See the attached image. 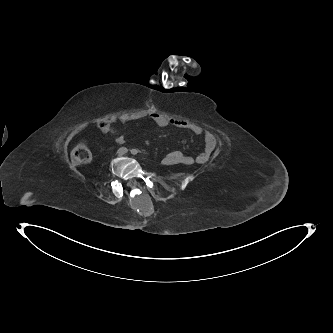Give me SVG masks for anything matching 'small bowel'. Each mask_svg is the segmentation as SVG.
<instances>
[{"label":"small bowel","mask_w":333,"mask_h":333,"mask_svg":"<svg viewBox=\"0 0 333 333\" xmlns=\"http://www.w3.org/2000/svg\"><path fill=\"white\" fill-rule=\"evenodd\" d=\"M150 119L161 127L166 126H174L180 129H186L191 132H193L196 135L202 136L204 139V148L201 152L196 154L195 156H189L185 155L181 160H173L169 163H166L162 160V163L164 165H185V166H191L194 164H204L206 163L209 158L211 157L215 146H216V137L213 133H211L208 130H204L199 125L188 121V120H182V119H171L166 117L163 114L160 113H152L149 115ZM143 116L141 114H129L122 116L120 118H112L108 120H100L97 122L96 126L98 130L105 134H117V128L116 125H125L127 123H136L137 121L141 120ZM116 141L120 144L125 142V136L120 133L117 134Z\"/></svg>","instance_id":"small-bowel-1"}]
</instances>
